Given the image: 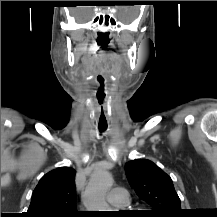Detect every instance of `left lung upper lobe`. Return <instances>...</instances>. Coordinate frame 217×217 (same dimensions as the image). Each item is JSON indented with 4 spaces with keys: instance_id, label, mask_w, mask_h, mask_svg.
I'll use <instances>...</instances> for the list:
<instances>
[{
    "instance_id": "1",
    "label": "left lung upper lobe",
    "mask_w": 217,
    "mask_h": 217,
    "mask_svg": "<svg viewBox=\"0 0 217 217\" xmlns=\"http://www.w3.org/2000/svg\"><path fill=\"white\" fill-rule=\"evenodd\" d=\"M127 179L136 194L153 210L151 217H181L183 211L173 182L156 164L145 159H135L125 165Z\"/></svg>"
}]
</instances>
